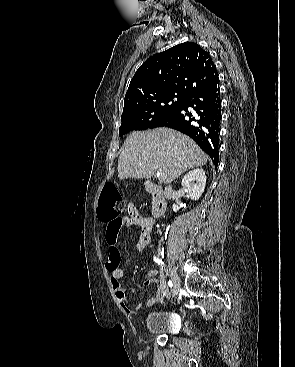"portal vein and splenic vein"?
<instances>
[{
  "mask_svg": "<svg viewBox=\"0 0 295 367\" xmlns=\"http://www.w3.org/2000/svg\"><path fill=\"white\" fill-rule=\"evenodd\" d=\"M157 176H158V178H159L160 181H163L165 179V177H166L165 173L163 171H161V170H158Z\"/></svg>",
  "mask_w": 295,
  "mask_h": 367,
  "instance_id": "18ae733b",
  "label": "portal vein and splenic vein"
}]
</instances>
